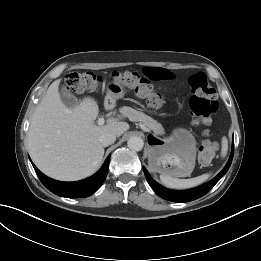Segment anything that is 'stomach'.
Here are the masks:
<instances>
[{
  "label": "stomach",
  "instance_id": "obj_1",
  "mask_svg": "<svg viewBox=\"0 0 261 261\" xmlns=\"http://www.w3.org/2000/svg\"><path fill=\"white\" fill-rule=\"evenodd\" d=\"M124 96V88L110 84L106 101L114 104ZM148 163L151 169L171 177L190 176L195 167L196 141L193 134L183 128L173 130L171 136L162 139L156 135L148 138Z\"/></svg>",
  "mask_w": 261,
  "mask_h": 261
}]
</instances>
